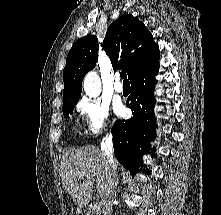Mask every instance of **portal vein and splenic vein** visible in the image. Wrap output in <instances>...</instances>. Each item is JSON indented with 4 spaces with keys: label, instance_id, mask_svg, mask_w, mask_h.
Returning a JSON list of instances; mask_svg holds the SVG:
<instances>
[{
    "label": "portal vein and splenic vein",
    "instance_id": "18ae733b",
    "mask_svg": "<svg viewBox=\"0 0 221 215\" xmlns=\"http://www.w3.org/2000/svg\"><path fill=\"white\" fill-rule=\"evenodd\" d=\"M100 207H101V204L100 203H96V204H94L93 205V210H98V209H100Z\"/></svg>",
    "mask_w": 221,
    "mask_h": 215
}]
</instances>
